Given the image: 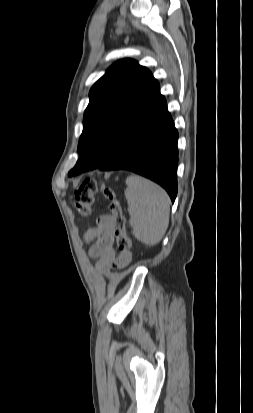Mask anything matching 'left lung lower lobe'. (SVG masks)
<instances>
[{
    "instance_id": "0a47b994",
    "label": "left lung lower lobe",
    "mask_w": 253,
    "mask_h": 413,
    "mask_svg": "<svg viewBox=\"0 0 253 413\" xmlns=\"http://www.w3.org/2000/svg\"><path fill=\"white\" fill-rule=\"evenodd\" d=\"M115 156L100 170H129L160 184L172 202L177 195L178 132L158 90L137 116L120 127Z\"/></svg>"
}]
</instances>
